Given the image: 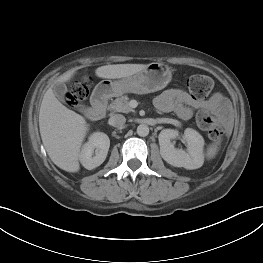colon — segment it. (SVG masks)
<instances>
[{
  "label": "colon",
  "mask_w": 263,
  "mask_h": 263,
  "mask_svg": "<svg viewBox=\"0 0 263 263\" xmlns=\"http://www.w3.org/2000/svg\"><path fill=\"white\" fill-rule=\"evenodd\" d=\"M187 87L192 96L197 99L206 98L213 89V81L206 75H192L187 80ZM89 94L86 82H76L72 85L66 95V101L70 106H76L85 100ZM198 126L207 132L208 136L215 142L222 140L223 132L215 117L209 113L202 112L197 116Z\"/></svg>",
  "instance_id": "colon-1"
}]
</instances>
